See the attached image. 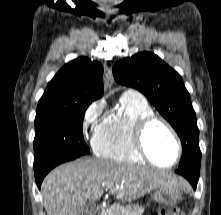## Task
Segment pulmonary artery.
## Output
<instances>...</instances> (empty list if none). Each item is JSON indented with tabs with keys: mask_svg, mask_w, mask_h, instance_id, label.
I'll list each match as a JSON object with an SVG mask.
<instances>
[{
	"mask_svg": "<svg viewBox=\"0 0 221 215\" xmlns=\"http://www.w3.org/2000/svg\"><path fill=\"white\" fill-rule=\"evenodd\" d=\"M124 94L140 95L138 92L133 91V90H127V91L124 92Z\"/></svg>",
	"mask_w": 221,
	"mask_h": 215,
	"instance_id": "1",
	"label": "pulmonary artery"
}]
</instances>
